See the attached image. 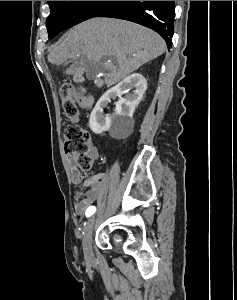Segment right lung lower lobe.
<instances>
[{
	"label": "right lung lower lobe",
	"mask_w": 237,
	"mask_h": 300,
	"mask_svg": "<svg viewBox=\"0 0 237 300\" xmlns=\"http://www.w3.org/2000/svg\"><path fill=\"white\" fill-rule=\"evenodd\" d=\"M174 1H105L94 16L129 20L149 27L172 45L174 33Z\"/></svg>",
	"instance_id": "1"
}]
</instances>
